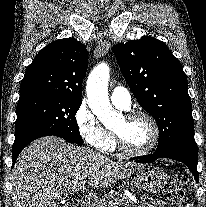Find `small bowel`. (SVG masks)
Returning a JSON list of instances; mask_svg holds the SVG:
<instances>
[{"mask_svg":"<svg viewBox=\"0 0 206 207\" xmlns=\"http://www.w3.org/2000/svg\"><path fill=\"white\" fill-rule=\"evenodd\" d=\"M138 207H164L162 202L151 198H144Z\"/></svg>","mask_w":206,"mask_h":207,"instance_id":"small-bowel-1","label":"small bowel"}]
</instances>
